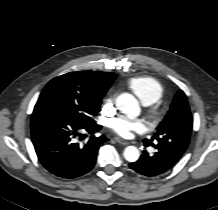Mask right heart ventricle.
Here are the masks:
<instances>
[{
    "mask_svg": "<svg viewBox=\"0 0 218 210\" xmlns=\"http://www.w3.org/2000/svg\"><path fill=\"white\" fill-rule=\"evenodd\" d=\"M127 86L144 105H152L163 96L162 85L150 76L131 78L128 80Z\"/></svg>",
    "mask_w": 218,
    "mask_h": 210,
    "instance_id": "1",
    "label": "right heart ventricle"
}]
</instances>
